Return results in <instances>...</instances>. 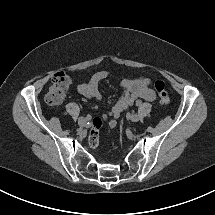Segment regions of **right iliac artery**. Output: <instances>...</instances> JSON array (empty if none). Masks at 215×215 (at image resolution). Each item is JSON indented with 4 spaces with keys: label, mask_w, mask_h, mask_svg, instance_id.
Segmentation results:
<instances>
[{
    "label": "right iliac artery",
    "mask_w": 215,
    "mask_h": 215,
    "mask_svg": "<svg viewBox=\"0 0 215 215\" xmlns=\"http://www.w3.org/2000/svg\"><path fill=\"white\" fill-rule=\"evenodd\" d=\"M86 119H87V120H90V119H91V116H90V115H87V116H86Z\"/></svg>",
    "instance_id": "1"
}]
</instances>
